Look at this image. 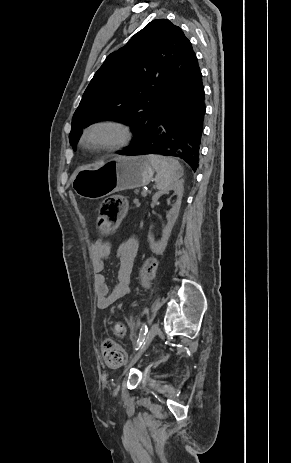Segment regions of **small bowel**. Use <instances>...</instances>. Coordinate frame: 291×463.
<instances>
[{"label": "small bowel", "instance_id": "small-bowel-1", "mask_svg": "<svg viewBox=\"0 0 291 463\" xmlns=\"http://www.w3.org/2000/svg\"><path fill=\"white\" fill-rule=\"evenodd\" d=\"M139 244L135 238H127L117 249V278L112 289L106 282L104 269L106 261L111 256L108 243L96 241L90 250L93 271V289L97 298L99 310L107 309L111 304L131 291V274L138 252Z\"/></svg>", "mask_w": 291, "mask_h": 463}]
</instances>
